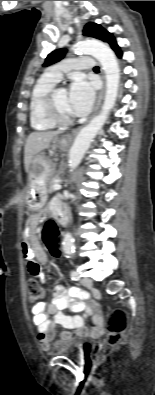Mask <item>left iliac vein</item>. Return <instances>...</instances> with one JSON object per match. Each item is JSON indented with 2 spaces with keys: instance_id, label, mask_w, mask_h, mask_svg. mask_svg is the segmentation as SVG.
Wrapping results in <instances>:
<instances>
[{
  "instance_id": "obj_1",
  "label": "left iliac vein",
  "mask_w": 155,
  "mask_h": 395,
  "mask_svg": "<svg viewBox=\"0 0 155 395\" xmlns=\"http://www.w3.org/2000/svg\"><path fill=\"white\" fill-rule=\"evenodd\" d=\"M81 283L83 286L87 287V288H91L92 287V280L88 277L82 278L81 279Z\"/></svg>"
}]
</instances>
